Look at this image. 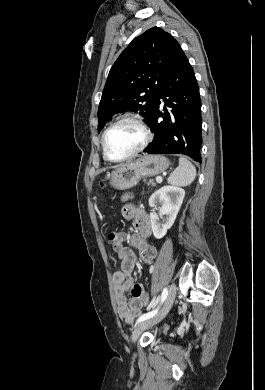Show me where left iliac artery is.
<instances>
[{
	"label": "left iliac artery",
	"instance_id": "1",
	"mask_svg": "<svg viewBox=\"0 0 265 390\" xmlns=\"http://www.w3.org/2000/svg\"><path fill=\"white\" fill-rule=\"evenodd\" d=\"M167 294H168V289H167V288H164V290H163V292H162V294H161V297H160V298H161V304H162V303L164 302V300L166 299ZM158 309H159V307H158L157 309L151 311V312H148V313H145V314L141 315V316L138 318L137 323L142 322V321H144V320H146V319H148V318L154 316V315L158 312Z\"/></svg>",
	"mask_w": 265,
	"mask_h": 390
}]
</instances>
